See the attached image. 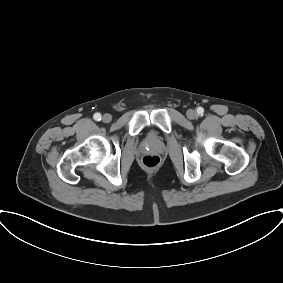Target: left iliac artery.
<instances>
[{
  "label": "left iliac artery",
  "instance_id": "obj_1",
  "mask_svg": "<svg viewBox=\"0 0 283 283\" xmlns=\"http://www.w3.org/2000/svg\"><path fill=\"white\" fill-rule=\"evenodd\" d=\"M197 113H198L199 116H202L203 113H204V109L202 107H198L197 108Z\"/></svg>",
  "mask_w": 283,
  "mask_h": 283
}]
</instances>
